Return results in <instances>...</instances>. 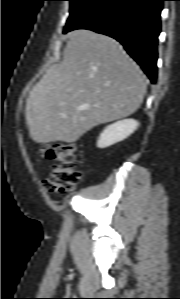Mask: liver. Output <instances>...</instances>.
I'll use <instances>...</instances> for the list:
<instances>
[{"mask_svg": "<svg viewBox=\"0 0 180 299\" xmlns=\"http://www.w3.org/2000/svg\"><path fill=\"white\" fill-rule=\"evenodd\" d=\"M145 93L142 71L116 40L73 31L63 60L29 92L25 116L30 137L36 143L76 142L99 124L133 114Z\"/></svg>", "mask_w": 180, "mask_h": 299, "instance_id": "liver-1", "label": "liver"}]
</instances>
